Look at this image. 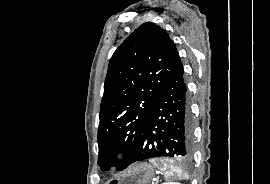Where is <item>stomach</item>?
<instances>
[{"label":"stomach","instance_id":"stomach-1","mask_svg":"<svg viewBox=\"0 0 270 184\" xmlns=\"http://www.w3.org/2000/svg\"><path fill=\"white\" fill-rule=\"evenodd\" d=\"M154 175L150 164L140 163L110 179L107 184H150Z\"/></svg>","mask_w":270,"mask_h":184}]
</instances>
